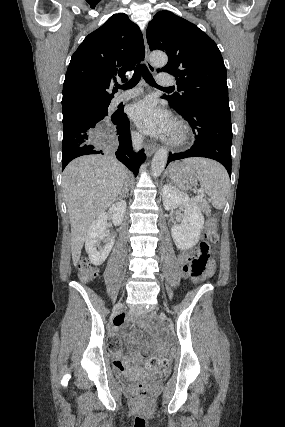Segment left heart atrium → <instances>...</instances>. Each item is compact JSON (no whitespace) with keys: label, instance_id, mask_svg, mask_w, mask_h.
<instances>
[{"label":"left heart atrium","instance_id":"left-heart-atrium-1","mask_svg":"<svg viewBox=\"0 0 285 427\" xmlns=\"http://www.w3.org/2000/svg\"><path fill=\"white\" fill-rule=\"evenodd\" d=\"M129 116L142 131L148 134L166 135L173 129L169 114L159 109L152 98H145L133 104Z\"/></svg>","mask_w":285,"mask_h":427}]
</instances>
